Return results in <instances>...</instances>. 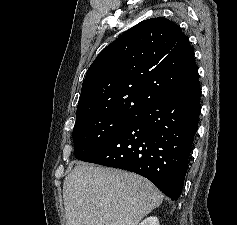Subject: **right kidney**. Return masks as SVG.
<instances>
[{
	"label": "right kidney",
	"mask_w": 237,
	"mask_h": 225,
	"mask_svg": "<svg viewBox=\"0 0 237 225\" xmlns=\"http://www.w3.org/2000/svg\"><path fill=\"white\" fill-rule=\"evenodd\" d=\"M139 225H160L157 217L150 216L144 219Z\"/></svg>",
	"instance_id": "right-kidney-1"
}]
</instances>
